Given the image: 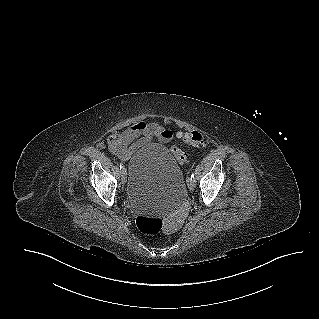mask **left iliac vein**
I'll list each match as a JSON object with an SVG mask.
<instances>
[{"instance_id": "4c4485c4", "label": "left iliac vein", "mask_w": 319, "mask_h": 319, "mask_svg": "<svg viewBox=\"0 0 319 319\" xmlns=\"http://www.w3.org/2000/svg\"><path fill=\"white\" fill-rule=\"evenodd\" d=\"M188 189L190 190V191H193L194 189H195V182H193V181H189L188 182Z\"/></svg>"}]
</instances>
